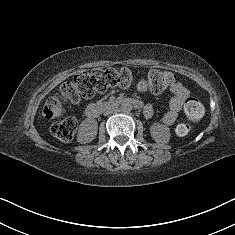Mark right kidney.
<instances>
[{
  "label": "right kidney",
  "mask_w": 235,
  "mask_h": 235,
  "mask_svg": "<svg viewBox=\"0 0 235 235\" xmlns=\"http://www.w3.org/2000/svg\"><path fill=\"white\" fill-rule=\"evenodd\" d=\"M87 124H91L94 129L97 128V122L94 120H88ZM84 130V129H83ZM85 131V130H84ZM94 136V135H93Z\"/></svg>",
  "instance_id": "ca27d5eb"
}]
</instances>
